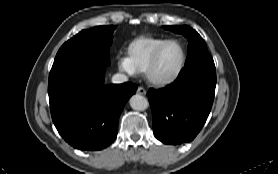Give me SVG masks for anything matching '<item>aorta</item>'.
Masks as SVG:
<instances>
[{
	"label": "aorta",
	"instance_id": "762f6f07",
	"mask_svg": "<svg viewBox=\"0 0 278 174\" xmlns=\"http://www.w3.org/2000/svg\"><path fill=\"white\" fill-rule=\"evenodd\" d=\"M130 106L134 110L144 111L148 108V100L139 94L133 95L129 100Z\"/></svg>",
	"mask_w": 278,
	"mask_h": 174
}]
</instances>
